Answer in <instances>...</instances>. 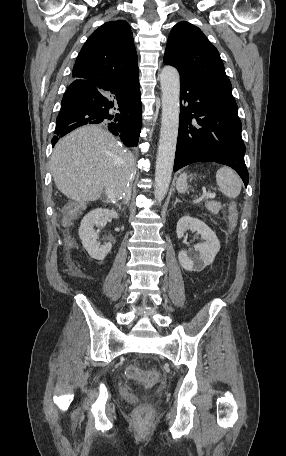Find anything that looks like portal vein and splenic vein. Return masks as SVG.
Wrapping results in <instances>:
<instances>
[{
	"label": "portal vein and splenic vein",
	"instance_id": "18ae733b",
	"mask_svg": "<svg viewBox=\"0 0 286 456\" xmlns=\"http://www.w3.org/2000/svg\"><path fill=\"white\" fill-rule=\"evenodd\" d=\"M106 194H107V197L113 202L115 203V197H114V194H113V191L111 189H106ZM207 198H215V193H207Z\"/></svg>",
	"mask_w": 286,
	"mask_h": 456
}]
</instances>
